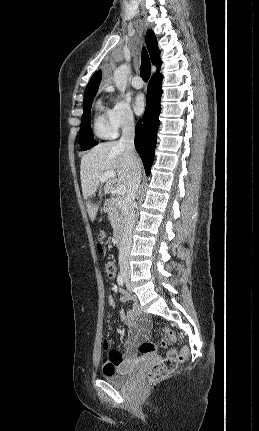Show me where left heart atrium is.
<instances>
[{"label":"left heart atrium","mask_w":259,"mask_h":431,"mask_svg":"<svg viewBox=\"0 0 259 431\" xmlns=\"http://www.w3.org/2000/svg\"><path fill=\"white\" fill-rule=\"evenodd\" d=\"M134 111L136 112V114L140 115L144 112L145 107H146V102H145V98L142 94H138L136 95V97L134 98Z\"/></svg>","instance_id":"obj_1"}]
</instances>
